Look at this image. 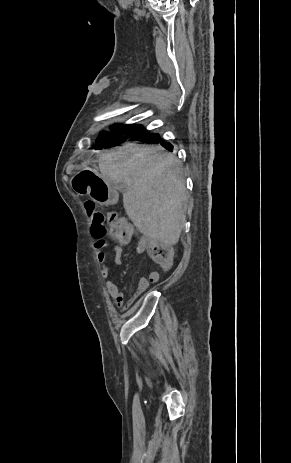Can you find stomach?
I'll return each instance as SVG.
<instances>
[{
    "mask_svg": "<svg viewBox=\"0 0 291 463\" xmlns=\"http://www.w3.org/2000/svg\"><path fill=\"white\" fill-rule=\"evenodd\" d=\"M72 188L80 195H89L101 205L117 201V192L113 184L94 171H83L71 181Z\"/></svg>",
    "mask_w": 291,
    "mask_h": 463,
    "instance_id": "0dacf381",
    "label": "stomach"
}]
</instances>
